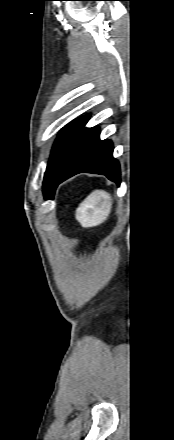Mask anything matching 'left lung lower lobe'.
Segmentation results:
<instances>
[{"label":"left lung lower lobe","instance_id":"left-lung-lower-lobe-1","mask_svg":"<svg viewBox=\"0 0 174 440\" xmlns=\"http://www.w3.org/2000/svg\"><path fill=\"white\" fill-rule=\"evenodd\" d=\"M99 135L98 127L83 129L64 168L54 182L49 199L53 198L59 183L81 172L102 174L117 185L120 184V167L112 155V142L100 140Z\"/></svg>","mask_w":174,"mask_h":440}]
</instances>
